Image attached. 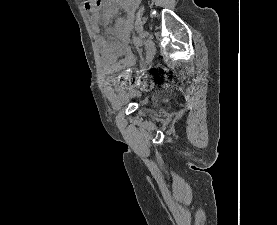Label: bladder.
Returning <instances> with one entry per match:
<instances>
[{
    "instance_id": "31cf9c89",
    "label": "bladder",
    "mask_w": 277,
    "mask_h": 225,
    "mask_svg": "<svg viewBox=\"0 0 277 225\" xmlns=\"http://www.w3.org/2000/svg\"><path fill=\"white\" fill-rule=\"evenodd\" d=\"M139 97H140V93L136 92V91H133L132 93H130L129 95L126 96V98L121 102V105H124L127 102H129L130 100L135 99V98H139Z\"/></svg>"
}]
</instances>
